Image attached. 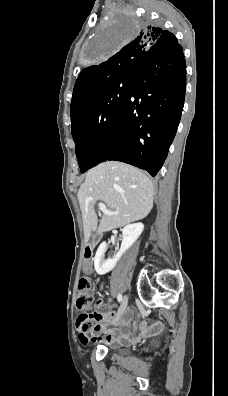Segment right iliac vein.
Here are the masks:
<instances>
[{
	"label": "right iliac vein",
	"instance_id": "right-iliac-vein-1",
	"mask_svg": "<svg viewBox=\"0 0 228 396\" xmlns=\"http://www.w3.org/2000/svg\"><path fill=\"white\" fill-rule=\"evenodd\" d=\"M127 304H128V296L125 295V296L123 297V299H122V303H121V306H120V308H119V312H118V315H117L116 320H118V319L123 315V313H124L125 310H126ZM116 320H115V321H116Z\"/></svg>",
	"mask_w": 228,
	"mask_h": 396
}]
</instances>
